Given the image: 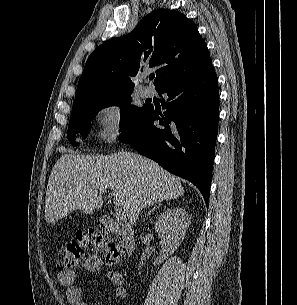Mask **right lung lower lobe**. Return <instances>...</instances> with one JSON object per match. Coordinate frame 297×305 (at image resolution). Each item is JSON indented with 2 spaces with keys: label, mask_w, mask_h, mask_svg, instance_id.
Masks as SVG:
<instances>
[{
  "label": "right lung lower lobe",
  "mask_w": 297,
  "mask_h": 305,
  "mask_svg": "<svg viewBox=\"0 0 297 305\" xmlns=\"http://www.w3.org/2000/svg\"><path fill=\"white\" fill-rule=\"evenodd\" d=\"M165 112L150 105L120 139L169 172L192 182L206 205L218 133L219 89L213 65L206 71L156 89Z\"/></svg>",
  "instance_id": "obj_1"
}]
</instances>
